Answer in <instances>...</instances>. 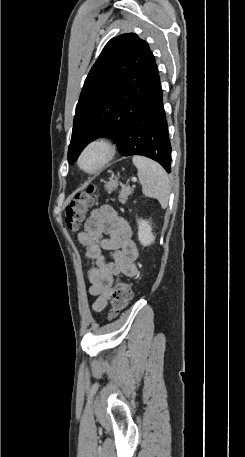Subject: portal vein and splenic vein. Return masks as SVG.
I'll return each mask as SVG.
<instances>
[{
	"label": "portal vein and splenic vein",
	"instance_id": "obj_1",
	"mask_svg": "<svg viewBox=\"0 0 245 457\" xmlns=\"http://www.w3.org/2000/svg\"><path fill=\"white\" fill-rule=\"evenodd\" d=\"M136 180H137L136 176H132V178H131V183H132V184H135V183H136Z\"/></svg>",
	"mask_w": 245,
	"mask_h": 457
}]
</instances>
